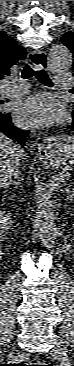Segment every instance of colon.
Returning a JSON list of instances; mask_svg holds the SVG:
<instances>
[{"label": "colon", "mask_w": 74, "mask_h": 366, "mask_svg": "<svg viewBox=\"0 0 74 366\" xmlns=\"http://www.w3.org/2000/svg\"><path fill=\"white\" fill-rule=\"evenodd\" d=\"M31 366H52V365H50L49 363H46V362H40V361H38V362H35Z\"/></svg>", "instance_id": "colon-1"}]
</instances>
